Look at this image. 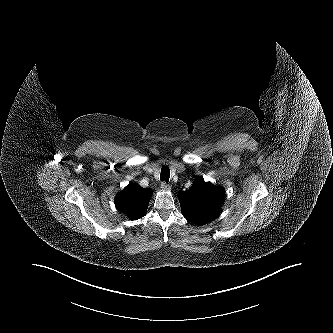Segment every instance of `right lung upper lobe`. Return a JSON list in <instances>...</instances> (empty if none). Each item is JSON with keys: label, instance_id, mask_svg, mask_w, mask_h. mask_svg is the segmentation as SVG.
<instances>
[{"label": "right lung upper lobe", "instance_id": "obj_1", "mask_svg": "<svg viewBox=\"0 0 333 333\" xmlns=\"http://www.w3.org/2000/svg\"><path fill=\"white\" fill-rule=\"evenodd\" d=\"M152 190L136 184H129L115 197L116 208L127 215L130 220L141 218L147 211Z\"/></svg>", "mask_w": 333, "mask_h": 333}]
</instances>
